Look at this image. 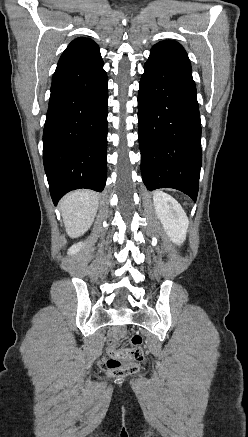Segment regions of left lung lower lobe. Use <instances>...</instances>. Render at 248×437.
<instances>
[{"label": "left lung lower lobe", "mask_w": 248, "mask_h": 437, "mask_svg": "<svg viewBox=\"0 0 248 437\" xmlns=\"http://www.w3.org/2000/svg\"><path fill=\"white\" fill-rule=\"evenodd\" d=\"M138 125L147 189L175 188L196 201L201 121L191 72L146 62L138 94Z\"/></svg>", "instance_id": "0a47b994"}]
</instances>
